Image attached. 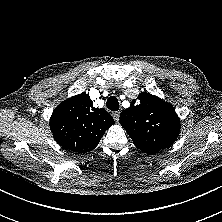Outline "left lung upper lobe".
Listing matches in <instances>:
<instances>
[{
  "label": "left lung upper lobe",
  "instance_id": "5c2ea615",
  "mask_svg": "<svg viewBox=\"0 0 222 222\" xmlns=\"http://www.w3.org/2000/svg\"><path fill=\"white\" fill-rule=\"evenodd\" d=\"M138 103L120 114V124L141 151L152 154L169 147L180 131L179 118L171 104L143 92Z\"/></svg>",
  "mask_w": 222,
  "mask_h": 222
}]
</instances>
